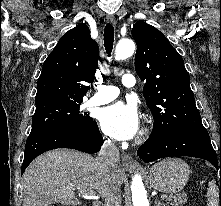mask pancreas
Returning <instances> with one entry per match:
<instances>
[{
	"label": "pancreas",
	"mask_w": 221,
	"mask_h": 206,
	"mask_svg": "<svg viewBox=\"0 0 221 206\" xmlns=\"http://www.w3.org/2000/svg\"><path fill=\"white\" fill-rule=\"evenodd\" d=\"M166 199L171 206H182L187 202L184 194L170 195Z\"/></svg>",
	"instance_id": "1"
}]
</instances>
